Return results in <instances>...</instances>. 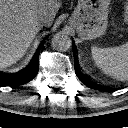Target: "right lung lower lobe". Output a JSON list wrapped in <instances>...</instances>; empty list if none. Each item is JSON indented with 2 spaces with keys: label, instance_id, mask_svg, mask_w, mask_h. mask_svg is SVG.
Here are the masks:
<instances>
[{
  "label": "right lung lower lobe",
  "instance_id": "obj_1",
  "mask_svg": "<svg viewBox=\"0 0 128 128\" xmlns=\"http://www.w3.org/2000/svg\"><path fill=\"white\" fill-rule=\"evenodd\" d=\"M42 43L37 49L30 64L25 69L13 74L0 73V86L15 87L23 85L31 81L37 75L39 69V54Z\"/></svg>",
  "mask_w": 128,
  "mask_h": 128
}]
</instances>
